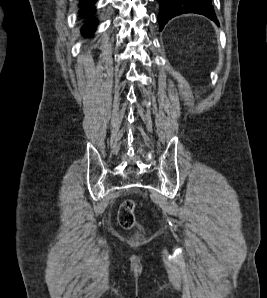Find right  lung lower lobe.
I'll use <instances>...</instances> for the list:
<instances>
[{
  "mask_svg": "<svg viewBox=\"0 0 267 298\" xmlns=\"http://www.w3.org/2000/svg\"><path fill=\"white\" fill-rule=\"evenodd\" d=\"M96 0H80V12L82 15L87 16L95 9L94 4ZM97 25L96 19H91L87 21L81 29V32L84 36L92 35L95 31Z\"/></svg>",
  "mask_w": 267,
  "mask_h": 298,
  "instance_id": "98d812e1",
  "label": "right lung lower lobe"
}]
</instances>
